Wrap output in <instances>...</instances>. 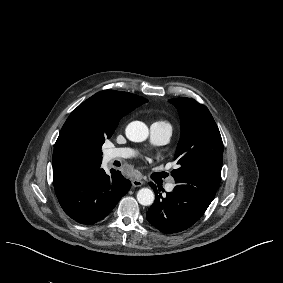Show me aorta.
I'll list each match as a JSON object with an SVG mask.
<instances>
[{"mask_svg": "<svg viewBox=\"0 0 283 283\" xmlns=\"http://www.w3.org/2000/svg\"><path fill=\"white\" fill-rule=\"evenodd\" d=\"M126 137L133 142L145 141L149 135V130L146 124L141 121H133L129 123L125 130ZM155 196L151 189L142 188L137 192V200L143 206L152 205Z\"/></svg>", "mask_w": 283, "mask_h": 283, "instance_id": "762f6f07", "label": "aorta"}]
</instances>
